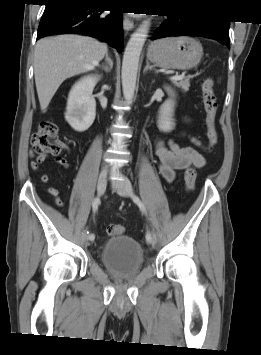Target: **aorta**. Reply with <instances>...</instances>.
<instances>
[{
  "instance_id": "762f6f07",
  "label": "aorta",
  "mask_w": 261,
  "mask_h": 355,
  "mask_svg": "<svg viewBox=\"0 0 261 355\" xmlns=\"http://www.w3.org/2000/svg\"><path fill=\"white\" fill-rule=\"evenodd\" d=\"M149 22H144L131 35L127 43L122 61V90L127 103H130L134 97L138 64L141 51L149 32Z\"/></svg>"
}]
</instances>
